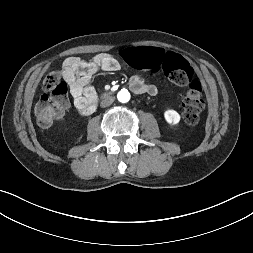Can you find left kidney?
Instances as JSON below:
<instances>
[{
  "label": "left kidney",
  "instance_id": "obj_1",
  "mask_svg": "<svg viewBox=\"0 0 253 253\" xmlns=\"http://www.w3.org/2000/svg\"><path fill=\"white\" fill-rule=\"evenodd\" d=\"M164 118H165L166 122L171 126L178 125V123L180 121V115L178 114L177 111H175L173 109L166 110L164 112Z\"/></svg>",
  "mask_w": 253,
  "mask_h": 253
}]
</instances>
